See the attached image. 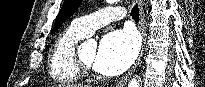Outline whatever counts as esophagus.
Instances as JSON below:
<instances>
[{"instance_id":"34e87169","label":"esophagus","mask_w":205,"mask_h":87,"mask_svg":"<svg viewBox=\"0 0 205 87\" xmlns=\"http://www.w3.org/2000/svg\"><path fill=\"white\" fill-rule=\"evenodd\" d=\"M137 3H138V7H139V15H140L139 29H140L141 34H142L143 43H142L141 50H140V53L138 55V58L136 59L134 65L125 74V76L122 77L121 80L116 83L115 87H124L126 85L127 81L133 75L136 67L138 66V64H139V62H140V60L143 56L144 48H145V45H146V29H145L144 9H143V5H142L141 0H138Z\"/></svg>"}]
</instances>
